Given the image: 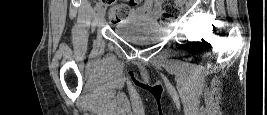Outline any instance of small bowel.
<instances>
[{"label":"small bowel","mask_w":267,"mask_h":115,"mask_svg":"<svg viewBox=\"0 0 267 115\" xmlns=\"http://www.w3.org/2000/svg\"><path fill=\"white\" fill-rule=\"evenodd\" d=\"M163 3V0H145L143 3L132 8L130 17L133 19H156ZM133 4L136 5L138 2L135 1Z\"/></svg>","instance_id":"c3829d8e"}]
</instances>
